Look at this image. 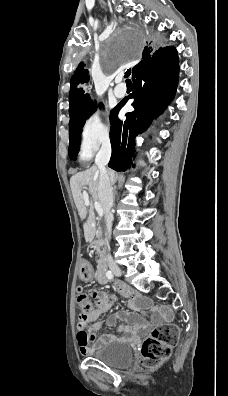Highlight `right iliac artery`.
<instances>
[{
    "mask_svg": "<svg viewBox=\"0 0 228 396\" xmlns=\"http://www.w3.org/2000/svg\"><path fill=\"white\" fill-rule=\"evenodd\" d=\"M106 276H107V278L110 279V280L113 279V274H112L111 271H107V272H106Z\"/></svg>",
    "mask_w": 228,
    "mask_h": 396,
    "instance_id": "1",
    "label": "right iliac artery"
}]
</instances>
